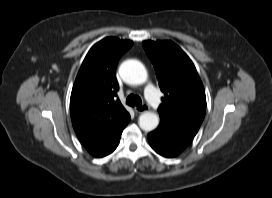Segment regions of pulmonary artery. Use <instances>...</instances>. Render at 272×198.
<instances>
[{
  "label": "pulmonary artery",
  "mask_w": 272,
  "mask_h": 198,
  "mask_svg": "<svg viewBox=\"0 0 272 198\" xmlns=\"http://www.w3.org/2000/svg\"><path fill=\"white\" fill-rule=\"evenodd\" d=\"M146 98L149 101V103L154 107H159L160 105V99L157 93V90L153 86H149L146 89Z\"/></svg>",
  "instance_id": "1"
}]
</instances>
